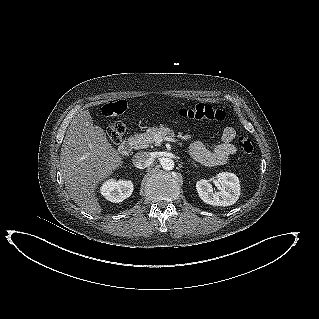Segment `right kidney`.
<instances>
[{
	"label": "right kidney",
	"instance_id": "1",
	"mask_svg": "<svg viewBox=\"0 0 319 319\" xmlns=\"http://www.w3.org/2000/svg\"><path fill=\"white\" fill-rule=\"evenodd\" d=\"M133 192V183L126 180L110 179L101 187V194L113 203L122 202Z\"/></svg>",
	"mask_w": 319,
	"mask_h": 319
}]
</instances>
